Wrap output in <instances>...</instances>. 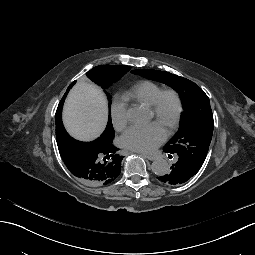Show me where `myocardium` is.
I'll use <instances>...</instances> for the list:
<instances>
[{
	"instance_id": "myocardium-1",
	"label": "myocardium",
	"mask_w": 255,
	"mask_h": 255,
	"mask_svg": "<svg viewBox=\"0 0 255 255\" xmlns=\"http://www.w3.org/2000/svg\"><path fill=\"white\" fill-rule=\"evenodd\" d=\"M166 96H171L174 101V111L172 115V121L169 131L166 134V137H171L177 130L180 113L182 109L181 99L178 92L172 88L161 89L158 94L155 96L153 102L151 103L150 110L152 113V122L157 124L160 121L162 115V103L163 99Z\"/></svg>"
}]
</instances>
